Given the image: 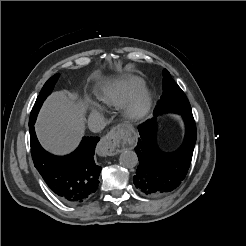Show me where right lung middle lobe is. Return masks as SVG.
Returning a JSON list of instances; mask_svg holds the SVG:
<instances>
[{
	"mask_svg": "<svg viewBox=\"0 0 246 246\" xmlns=\"http://www.w3.org/2000/svg\"><path fill=\"white\" fill-rule=\"evenodd\" d=\"M59 77V74H55L50 79L47 80V82L44 84L42 90L40 91L39 96L36 99V102L32 108L30 119H29V125H32L35 123L36 117L38 115V112L44 102V100L47 98V96L51 93L54 84L57 82Z\"/></svg>",
	"mask_w": 246,
	"mask_h": 246,
	"instance_id": "1",
	"label": "right lung middle lobe"
}]
</instances>
